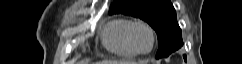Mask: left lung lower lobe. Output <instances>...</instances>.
<instances>
[{
  "mask_svg": "<svg viewBox=\"0 0 242 64\" xmlns=\"http://www.w3.org/2000/svg\"><path fill=\"white\" fill-rule=\"evenodd\" d=\"M184 59L186 60V55H184Z\"/></svg>",
  "mask_w": 242,
  "mask_h": 64,
  "instance_id": "0a47b994",
  "label": "left lung lower lobe"
}]
</instances>
